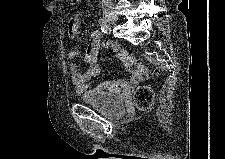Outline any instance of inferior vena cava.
<instances>
[{
	"mask_svg": "<svg viewBox=\"0 0 225 159\" xmlns=\"http://www.w3.org/2000/svg\"><path fill=\"white\" fill-rule=\"evenodd\" d=\"M112 1L111 0H102V6H111Z\"/></svg>",
	"mask_w": 225,
	"mask_h": 159,
	"instance_id": "602c4592",
	"label": "inferior vena cava"
}]
</instances>
